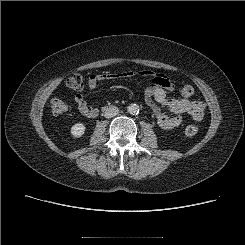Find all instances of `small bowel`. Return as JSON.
<instances>
[{"label": "small bowel", "mask_w": 245, "mask_h": 245, "mask_svg": "<svg viewBox=\"0 0 245 245\" xmlns=\"http://www.w3.org/2000/svg\"><path fill=\"white\" fill-rule=\"evenodd\" d=\"M134 75L148 80L144 91V98L147 105L153 111L160 128L172 130L179 127L183 121V114H188L195 121H201L203 119L206 110L204 102L189 100L187 98H169L167 93L174 90V85L171 80L163 74H158L150 70L119 74H92L89 76L88 85L91 89H94L103 80L126 78ZM75 102L79 112L83 116L87 118L97 116V108L88 105L81 94L76 95Z\"/></svg>", "instance_id": "1"}]
</instances>
